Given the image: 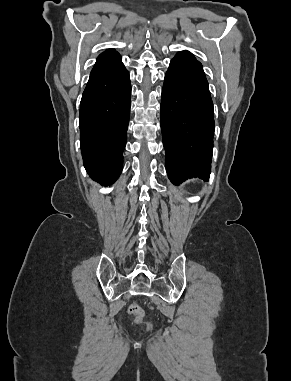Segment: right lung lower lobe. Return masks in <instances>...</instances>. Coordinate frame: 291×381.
<instances>
[{
    "label": "right lung lower lobe",
    "mask_w": 291,
    "mask_h": 381,
    "mask_svg": "<svg viewBox=\"0 0 291 381\" xmlns=\"http://www.w3.org/2000/svg\"><path fill=\"white\" fill-rule=\"evenodd\" d=\"M131 85L115 50L101 53L80 103V146L84 167L93 180L113 184L122 171L127 140Z\"/></svg>",
    "instance_id": "1"
}]
</instances>
